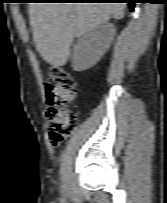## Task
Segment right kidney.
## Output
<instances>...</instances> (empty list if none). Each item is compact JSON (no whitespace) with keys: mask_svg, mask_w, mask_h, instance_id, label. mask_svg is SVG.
Wrapping results in <instances>:
<instances>
[{"mask_svg":"<svg viewBox=\"0 0 167 203\" xmlns=\"http://www.w3.org/2000/svg\"><path fill=\"white\" fill-rule=\"evenodd\" d=\"M115 32L114 25L105 22L83 34L74 47L73 69L83 71L95 65L108 49Z\"/></svg>","mask_w":167,"mask_h":203,"instance_id":"obj_1","label":"right kidney"}]
</instances>
